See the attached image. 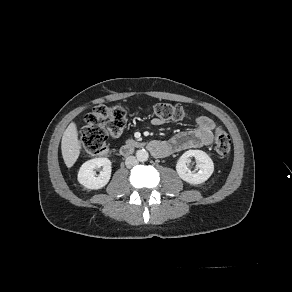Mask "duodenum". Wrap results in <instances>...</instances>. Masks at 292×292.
Wrapping results in <instances>:
<instances>
[{
  "label": "duodenum",
  "mask_w": 292,
  "mask_h": 292,
  "mask_svg": "<svg viewBox=\"0 0 292 292\" xmlns=\"http://www.w3.org/2000/svg\"><path fill=\"white\" fill-rule=\"evenodd\" d=\"M141 146L140 143L135 141H128L126 142L120 149L122 155H129L133 152L136 147Z\"/></svg>",
  "instance_id": "obj_1"
}]
</instances>
